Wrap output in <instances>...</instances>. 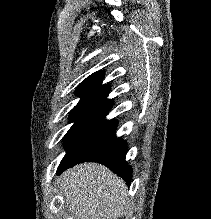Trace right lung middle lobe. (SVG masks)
Here are the masks:
<instances>
[{
  "mask_svg": "<svg viewBox=\"0 0 211 219\" xmlns=\"http://www.w3.org/2000/svg\"><path fill=\"white\" fill-rule=\"evenodd\" d=\"M111 108L112 105L95 101H79L70 112V121L74 124L63 138L67 154L106 121L105 116Z\"/></svg>",
  "mask_w": 211,
  "mask_h": 219,
  "instance_id": "dd1d6c3e",
  "label": "right lung middle lobe"
}]
</instances>
